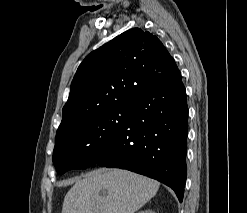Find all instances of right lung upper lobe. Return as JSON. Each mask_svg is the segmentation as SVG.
Returning <instances> with one entry per match:
<instances>
[{"label": "right lung upper lobe", "mask_w": 247, "mask_h": 213, "mask_svg": "<svg viewBox=\"0 0 247 213\" xmlns=\"http://www.w3.org/2000/svg\"><path fill=\"white\" fill-rule=\"evenodd\" d=\"M176 71L174 58L156 36L139 28L122 33L91 52L78 67L56 137Z\"/></svg>", "instance_id": "right-lung-upper-lobe-1"}]
</instances>
